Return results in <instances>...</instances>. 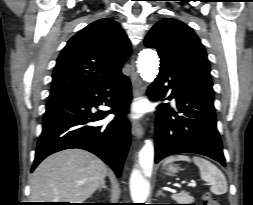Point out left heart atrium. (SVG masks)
<instances>
[{"label": "left heart atrium", "instance_id": "39dd6f15", "mask_svg": "<svg viewBox=\"0 0 253 205\" xmlns=\"http://www.w3.org/2000/svg\"><path fill=\"white\" fill-rule=\"evenodd\" d=\"M133 113L135 116H138L141 113V108L139 106H135L133 108Z\"/></svg>", "mask_w": 253, "mask_h": 205}]
</instances>
